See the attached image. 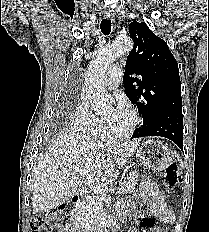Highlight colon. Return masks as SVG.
Returning a JSON list of instances; mask_svg holds the SVG:
<instances>
[{
	"mask_svg": "<svg viewBox=\"0 0 209 232\" xmlns=\"http://www.w3.org/2000/svg\"><path fill=\"white\" fill-rule=\"evenodd\" d=\"M182 162L180 158L173 157L164 174V186L168 190L174 189L181 179ZM63 208L55 207L37 213L31 221L32 232H53V226L62 227L60 222ZM67 230V227H65Z\"/></svg>",
	"mask_w": 209,
	"mask_h": 232,
	"instance_id": "colon-1",
	"label": "colon"
}]
</instances>
